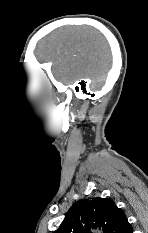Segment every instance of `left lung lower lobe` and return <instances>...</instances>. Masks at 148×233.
Instances as JSON below:
<instances>
[{"mask_svg":"<svg viewBox=\"0 0 148 233\" xmlns=\"http://www.w3.org/2000/svg\"><path fill=\"white\" fill-rule=\"evenodd\" d=\"M126 233H133L132 227L129 228Z\"/></svg>","mask_w":148,"mask_h":233,"instance_id":"1","label":"left lung lower lobe"}]
</instances>
